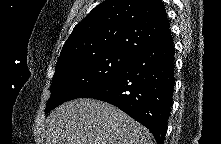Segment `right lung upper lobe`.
Returning a JSON list of instances; mask_svg holds the SVG:
<instances>
[{"mask_svg":"<svg viewBox=\"0 0 221 144\" xmlns=\"http://www.w3.org/2000/svg\"><path fill=\"white\" fill-rule=\"evenodd\" d=\"M170 34L161 0H105L74 27L57 67L107 51L135 55Z\"/></svg>","mask_w":221,"mask_h":144,"instance_id":"obj_1","label":"right lung upper lobe"}]
</instances>
